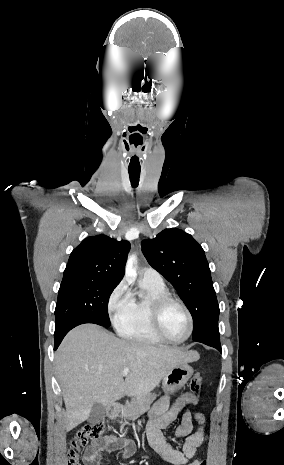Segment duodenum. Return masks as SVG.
Returning a JSON list of instances; mask_svg holds the SVG:
<instances>
[{"label":"duodenum","instance_id":"410a0bca","mask_svg":"<svg viewBox=\"0 0 284 465\" xmlns=\"http://www.w3.org/2000/svg\"><path fill=\"white\" fill-rule=\"evenodd\" d=\"M120 406L118 404H113L112 406L109 407L107 410V414L110 418H113L118 415L120 412Z\"/></svg>","mask_w":284,"mask_h":465}]
</instances>
